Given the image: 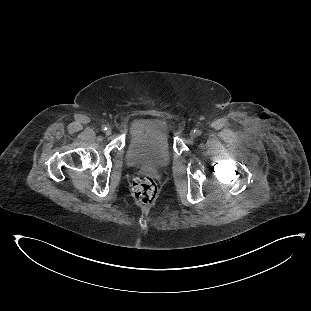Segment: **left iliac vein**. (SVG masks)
Here are the masks:
<instances>
[{
  "mask_svg": "<svg viewBox=\"0 0 311 311\" xmlns=\"http://www.w3.org/2000/svg\"><path fill=\"white\" fill-rule=\"evenodd\" d=\"M195 137H196L195 131H191V132H190V138H191V139H194Z\"/></svg>",
  "mask_w": 311,
  "mask_h": 311,
  "instance_id": "obj_1",
  "label": "left iliac vein"
}]
</instances>
